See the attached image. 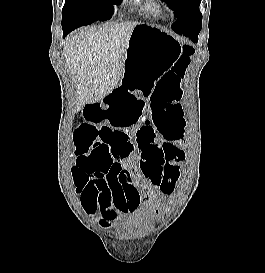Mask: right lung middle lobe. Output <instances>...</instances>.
Listing matches in <instances>:
<instances>
[{"label": "right lung middle lobe", "instance_id": "obj_1", "mask_svg": "<svg viewBox=\"0 0 265 273\" xmlns=\"http://www.w3.org/2000/svg\"><path fill=\"white\" fill-rule=\"evenodd\" d=\"M121 0H65L62 10L63 33H70L78 27L95 21L109 20L113 14V4Z\"/></svg>", "mask_w": 265, "mask_h": 273}]
</instances>
